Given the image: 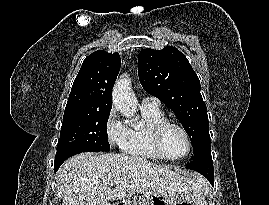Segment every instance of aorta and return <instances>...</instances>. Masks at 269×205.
I'll return each instance as SVG.
<instances>
[{
    "instance_id": "762f6f07",
    "label": "aorta",
    "mask_w": 269,
    "mask_h": 205,
    "mask_svg": "<svg viewBox=\"0 0 269 205\" xmlns=\"http://www.w3.org/2000/svg\"><path fill=\"white\" fill-rule=\"evenodd\" d=\"M112 100L115 109L126 118H132L137 109V99L130 87V79L122 76L113 88Z\"/></svg>"
}]
</instances>
